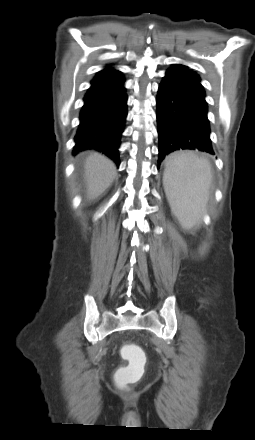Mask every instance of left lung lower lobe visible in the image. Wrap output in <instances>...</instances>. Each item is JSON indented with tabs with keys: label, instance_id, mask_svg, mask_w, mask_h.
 <instances>
[{
	"label": "left lung lower lobe",
	"instance_id": "left-lung-lower-lobe-1",
	"mask_svg": "<svg viewBox=\"0 0 255 440\" xmlns=\"http://www.w3.org/2000/svg\"><path fill=\"white\" fill-rule=\"evenodd\" d=\"M156 105L159 165L168 154L180 149L214 155L205 90L199 82L169 68L159 85Z\"/></svg>",
	"mask_w": 255,
	"mask_h": 440
}]
</instances>
